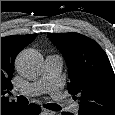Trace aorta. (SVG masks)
<instances>
[{
	"label": "aorta",
	"mask_w": 115,
	"mask_h": 115,
	"mask_svg": "<svg viewBox=\"0 0 115 115\" xmlns=\"http://www.w3.org/2000/svg\"><path fill=\"white\" fill-rule=\"evenodd\" d=\"M43 67L41 55L35 50H24L16 59V69L20 75L26 78L37 77Z\"/></svg>",
	"instance_id": "obj_1"
}]
</instances>
